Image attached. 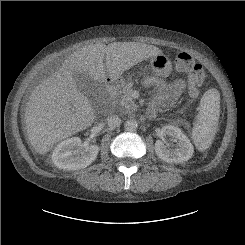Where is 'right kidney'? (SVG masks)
<instances>
[{
	"label": "right kidney",
	"mask_w": 245,
	"mask_h": 245,
	"mask_svg": "<svg viewBox=\"0 0 245 245\" xmlns=\"http://www.w3.org/2000/svg\"><path fill=\"white\" fill-rule=\"evenodd\" d=\"M81 139L79 137L68 138L60 142L52 153V161L59 169L79 170L86 168L95 161L99 146L91 145L84 151H79Z\"/></svg>",
	"instance_id": "ca27d5eb"
}]
</instances>
